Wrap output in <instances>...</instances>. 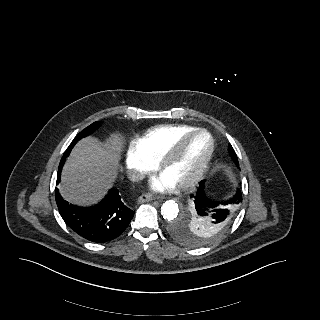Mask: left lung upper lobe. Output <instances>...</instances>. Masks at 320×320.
<instances>
[{"mask_svg": "<svg viewBox=\"0 0 320 320\" xmlns=\"http://www.w3.org/2000/svg\"><path fill=\"white\" fill-rule=\"evenodd\" d=\"M228 150H229V154L232 158V160L234 161V163L238 166V158L237 155L233 149V147L231 146V144H229L228 146ZM188 223L189 226L191 228L192 231H206L208 232V229H210V221L206 218H201L199 217L197 214L194 213V211L189 212L188 214ZM172 230L174 231V233L181 237L184 238V236L186 235L184 232H181L176 226L172 227Z\"/></svg>", "mask_w": 320, "mask_h": 320, "instance_id": "1", "label": "left lung upper lobe"}]
</instances>
